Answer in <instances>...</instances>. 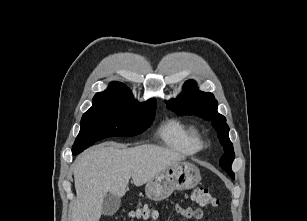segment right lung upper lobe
Here are the masks:
<instances>
[{"label": "right lung upper lobe", "instance_id": "cb5924a9", "mask_svg": "<svg viewBox=\"0 0 307 221\" xmlns=\"http://www.w3.org/2000/svg\"><path fill=\"white\" fill-rule=\"evenodd\" d=\"M102 101H117L138 103L131 93V91L120 82H112L104 92H98L93 98V103ZM156 102L155 99H150L145 103Z\"/></svg>", "mask_w": 307, "mask_h": 221}]
</instances>
